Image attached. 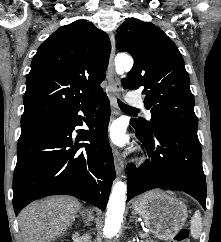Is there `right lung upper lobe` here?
Listing matches in <instances>:
<instances>
[{
	"instance_id": "right-lung-upper-lobe-1",
	"label": "right lung upper lobe",
	"mask_w": 221,
	"mask_h": 242,
	"mask_svg": "<svg viewBox=\"0 0 221 242\" xmlns=\"http://www.w3.org/2000/svg\"><path fill=\"white\" fill-rule=\"evenodd\" d=\"M111 51L93 23L60 27L38 48L26 79L21 123L51 116L97 97Z\"/></svg>"
}]
</instances>
